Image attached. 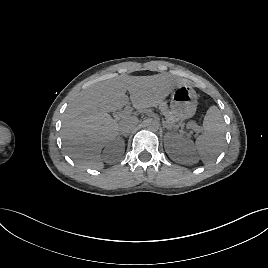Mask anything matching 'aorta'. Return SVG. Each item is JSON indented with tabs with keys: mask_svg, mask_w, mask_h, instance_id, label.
<instances>
[{
	"mask_svg": "<svg viewBox=\"0 0 268 268\" xmlns=\"http://www.w3.org/2000/svg\"><path fill=\"white\" fill-rule=\"evenodd\" d=\"M146 127L150 131H153V132L158 131L160 128V122L156 119L150 118L146 121Z\"/></svg>",
	"mask_w": 268,
	"mask_h": 268,
	"instance_id": "762f6f07",
	"label": "aorta"
}]
</instances>
